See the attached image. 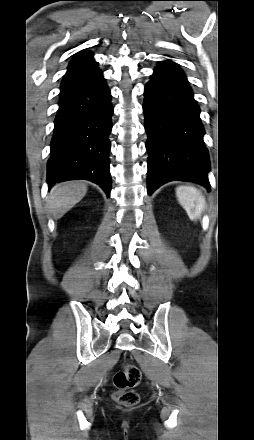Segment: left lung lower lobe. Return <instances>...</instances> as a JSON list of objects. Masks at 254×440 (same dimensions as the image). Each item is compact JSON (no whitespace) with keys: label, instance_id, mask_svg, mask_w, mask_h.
Instances as JSON below:
<instances>
[{"label":"left lung lower lobe","instance_id":"left-lung-lower-lobe-1","mask_svg":"<svg viewBox=\"0 0 254 440\" xmlns=\"http://www.w3.org/2000/svg\"><path fill=\"white\" fill-rule=\"evenodd\" d=\"M148 194L168 181H191L210 189V162L200 109L189 82L171 60L158 64L145 86Z\"/></svg>","mask_w":254,"mask_h":440}]
</instances>
